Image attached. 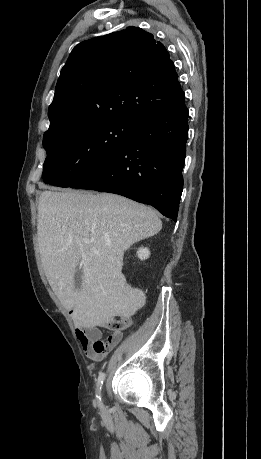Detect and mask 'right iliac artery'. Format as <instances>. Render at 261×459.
Masks as SVG:
<instances>
[{"mask_svg":"<svg viewBox=\"0 0 261 459\" xmlns=\"http://www.w3.org/2000/svg\"><path fill=\"white\" fill-rule=\"evenodd\" d=\"M105 379V373L104 372H101L98 376V381H97V387L101 389V386L103 384V381ZM96 398L98 399V404L100 407H102V403H101V398L99 395H96Z\"/></svg>","mask_w":261,"mask_h":459,"instance_id":"obj_1","label":"right iliac artery"}]
</instances>
